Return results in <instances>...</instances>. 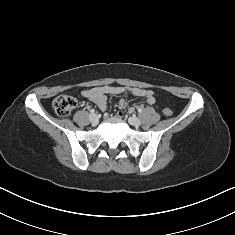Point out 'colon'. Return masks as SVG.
I'll return each mask as SVG.
<instances>
[{
	"instance_id": "obj_1",
	"label": "colon",
	"mask_w": 235,
	"mask_h": 235,
	"mask_svg": "<svg viewBox=\"0 0 235 235\" xmlns=\"http://www.w3.org/2000/svg\"><path fill=\"white\" fill-rule=\"evenodd\" d=\"M76 107V100L72 96L69 95H59L53 101V109L59 116H68L73 109ZM163 113L166 116H170L172 114V110L170 108H164Z\"/></svg>"
}]
</instances>
